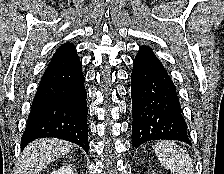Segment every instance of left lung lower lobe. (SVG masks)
Segmentation results:
<instances>
[{"label":"left lung lower lobe","instance_id":"obj_1","mask_svg":"<svg viewBox=\"0 0 224 174\" xmlns=\"http://www.w3.org/2000/svg\"><path fill=\"white\" fill-rule=\"evenodd\" d=\"M131 73L132 145L179 140L191 145L176 87L148 46H141Z\"/></svg>","mask_w":224,"mask_h":174}]
</instances>
